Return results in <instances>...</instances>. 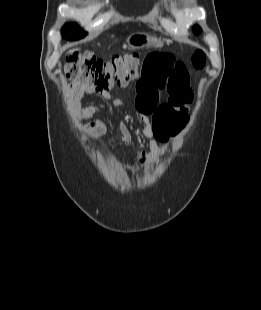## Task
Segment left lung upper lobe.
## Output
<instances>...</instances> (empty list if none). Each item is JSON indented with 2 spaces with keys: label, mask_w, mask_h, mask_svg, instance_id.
<instances>
[{
  "label": "left lung upper lobe",
  "mask_w": 261,
  "mask_h": 310,
  "mask_svg": "<svg viewBox=\"0 0 261 310\" xmlns=\"http://www.w3.org/2000/svg\"><path fill=\"white\" fill-rule=\"evenodd\" d=\"M194 30H195L196 33H200L201 32V28L198 27V26H195Z\"/></svg>",
  "instance_id": "5c2ea615"
}]
</instances>
